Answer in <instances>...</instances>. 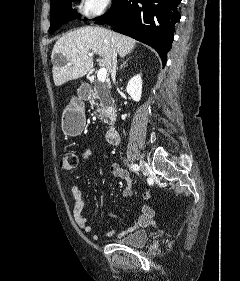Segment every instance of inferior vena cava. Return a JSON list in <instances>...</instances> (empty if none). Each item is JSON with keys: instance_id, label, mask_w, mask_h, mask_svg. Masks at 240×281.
I'll use <instances>...</instances> for the list:
<instances>
[{"instance_id": "602c4592", "label": "inferior vena cava", "mask_w": 240, "mask_h": 281, "mask_svg": "<svg viewBox=\"0 0 240 281\" xmlns=\"http://www.w3.org/2000/svg\"><path fill=\"white\" fill-rule=\"evenodd\" d=\"M116 67H117L116 53L113 52V54H112V70H111V76H112L113 81H115V77H116Z\"/></svg>"}]
</instances>
